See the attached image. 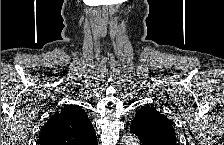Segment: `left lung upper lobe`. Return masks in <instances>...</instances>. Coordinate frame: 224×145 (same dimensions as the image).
<instances>
[{"instance_id": "left-lung-upper-lobe-1", "label": "left lung upper lobe", "mask_w": 224, "mask_h": 145, "mask_svg": "<svg viewBox=\"0 0 224 145\" xmlns=\"http://www.w3.org/2000/svg\"><path fill=\"white\" fill-rule=\"evenodd\" d=\"M143 122L144 129L161 145H176V136L171 121L152 106H144L135 115Z\"/></svg>"}]
</instances>
